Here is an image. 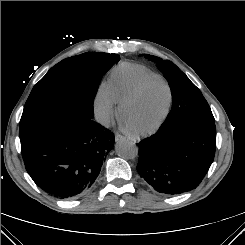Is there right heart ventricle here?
<instances>
[{
  "mask_svg": "<svg viewBox=\"0 0 245 245\" xmlns=\"http://www.w3.org/2000/svg\"><path fill=\"white\" fill-rule=\"evenodd\" d=\"M152 76L157 74L143 65L124 63L112 70L108 86L115 101L121 103L143 80Z\"/></svg>",
  "mask_w": 245,
  "mask_h": 245,
  "instance_id": "obj_1",
  "label": "right heart ventricle"
}]
</instances>
